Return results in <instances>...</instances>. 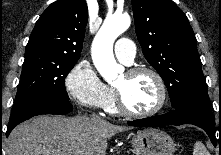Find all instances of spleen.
Masks as SVG:
<instances>
[{"mask_svg": "<svg viewBox=\"0 0 221 155\" xmlns=\"http://www.w3.org/2000/svg\"><path fill=\"white\" fill-rule=\"evenodd\" d=\"M193 155H209V152L202 142L197 141L194 145Z\"/></svg>", "mask_w": 221, "mask_h": 155, "instance_id": "3e777b00", "label": "spleen"}]
</instances>
